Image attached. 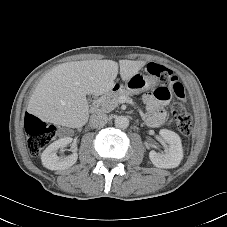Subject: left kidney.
I'll use <instances>...</instances> for the list:
<instances>
[{"mask_svg": "<svg viewBox=\"0 0 227 227\" xmlns=\"http://www.w3.org/2000/svg\"><path fill=\"white\" fill-rule=\"evenodd\" d=\"M160 136L169 144L164 154L149 152V158L154 166L159 168H175L183 159V148L179 135L171 130L161 129Z\"/></svg>", "mask_w": 227, "mask_h": 227, "instance_id": "obj_1", "label": "left kidney"}]
</instances>
